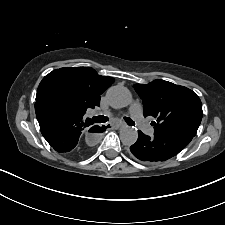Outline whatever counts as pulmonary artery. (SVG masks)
I'll return each instance as SVG.
<instances>
[{
	"mask_svg": "<svg viewBox=\"0 0 225 225\" xmlns=\"http://www.w3.org/2000/svg\"><path fill=\"white\" fill-rule=\"evenodd\" d=\"M129 112L131 117L136 121L141 130H143L147 135L153 136L154 128L146 121L143 116L142 106L139 103H133ZM95 114H100V112H95Z\"/></svg>",
	"mask_w": 225,
	"mask_h": 225,
	"instance_id": "e3ab8cb5",
	"label": "pulmonary artery"
}]
</instances>
